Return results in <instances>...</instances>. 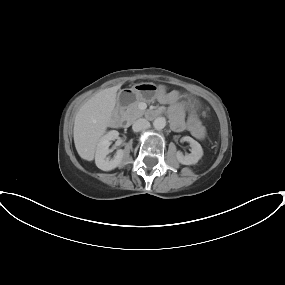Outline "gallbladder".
I'll return each mask as SVG.
<instances>
[{
    "mask_svg": "<svg viewBox=\"0 0 285 285\" xmlns=\"http://www.w3.org/2000/svg\"><path fill=\"white\" fill-rule=\"evenodd\" d=\"M124 94H125V92H121V93H120V95H119V96H120V99L123 97Z\"/></svg>",
    "mask_w": 285,
    "mask_h": 285,
    "instance_id": "obj_1",
    "label": "gallbladder"
}]
</instances>
